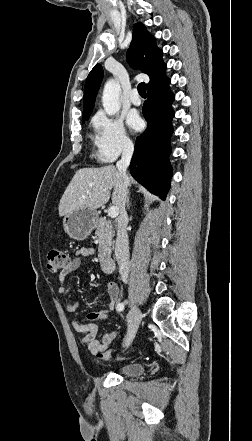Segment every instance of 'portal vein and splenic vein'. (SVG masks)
Masks as SVG:
<instances>
[{
    "label": "portal vein and splenic vein",
    "instance_id": "obj_1",
    "mask_svg": "<svg viewBox=\"0 0 252 441\" xmlns=\"http://www.w3.org/2000/svg\"><path fill=\"white\" fill-rule=\"evenodd\" d=\"M118 213H119V208L115 206L110 207L108 210V216L110 218H116L118 216Z\"/></svg>",
    "mask_w": 252,
    "mask_h": 441
}]
</instances>
